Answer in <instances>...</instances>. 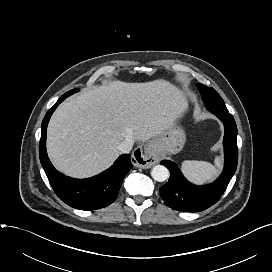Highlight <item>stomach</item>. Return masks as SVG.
<instances>
[{"instance_id": "1", "label": "stomach", "mask_w": 272, "mask_h": 272, "mask_svg": "<svg viewBox=\"0 0 272 272\" xmlns=\"http://www.w3.org/2000/svg\"><path fill=\"white\" fill-rule=\"evenodd\" d=\"M186 142L184 130L174 124L148 142L154 155H172L179 153Z\"/></svg>"}]
</instances>
